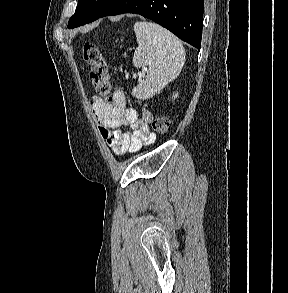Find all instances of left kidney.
Wrapping results in <instances>:
<instances>
[{
	"label": "left kidney",
	"instance_id": "5707ae66",
	"mask_svg": "<svg viewBox=\"0 0 288 293\" xmlns=\"http://www.w3.org/2000/svg\"><path fill=\"white\" fill-rule=\"evenodd\" d=\"M177 97H178V93H176V94L173 95V98L174 99L177 98Z\"/></svg>",
	"mask_w": 288,
	"mask_h": 293
}]
</instances>
